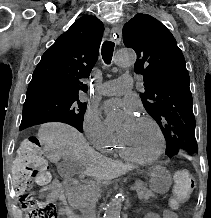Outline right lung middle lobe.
Masks as SVG:
<instances>
[{
  "label": "right lung middle lobe",
  "instance_id": "1",
  "mask_svg": "<svg viewBox=\"0 0 211 218\" xmlns=\"http://www.w3.org/2000/svg\"><path fill=\"white\" fill-rule=\"evenodd\" d=\"M85 111L86 103L81 102L77 96L48 97L25 102L20 129L44 122L60 121L82 132Z\"/></svg>",
  "mask_w": 211,
  "mask_h": 218
}]
</instances>
